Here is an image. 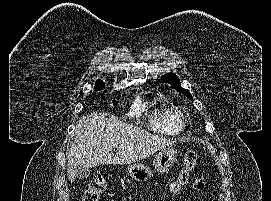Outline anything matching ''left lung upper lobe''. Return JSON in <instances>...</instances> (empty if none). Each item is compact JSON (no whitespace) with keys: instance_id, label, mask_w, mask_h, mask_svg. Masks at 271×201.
Returning a JSON list of instances; mask_svg holds the SVG:
<instances>
[{"instance_id":"left-lung-upper-lobe-1","label":"left lung upper lobe","mask_w":271,"mask_h":201,"mask_svg":"<svg viewBox=\"0 0 271 201\" xmlns=\"http://www.w3.org/2000/svg\"><path fill=\"white\" fill-rule=\"evenodd\" d=\"M162 80L172 86L175 90L178 92L184 93L190 100L193 101V98L189 92V90L184 89L180 86V81L178 77L174 73H168L165 75H162Z\"/></svg>"}]
</instances>
